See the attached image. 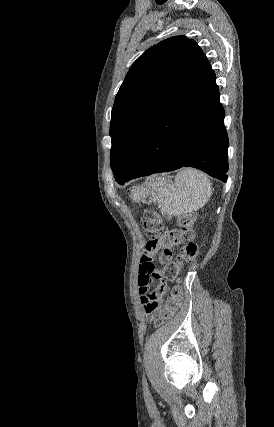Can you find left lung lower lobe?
Listing matches in <instances>:
<instances>
[{
  "mask_svg": "<svg viewBox=\"0 0 274 427\" xmlns=\"http://www.w3.org/2000/svg\"><path fill=\"white\" fill-rule=\"evenodd\" d=\"M228 137L215 74L207 61L150 129L138 157L117 183L181 167L227 181Z\"/></svg>",
  "mask_w": 274,
  "mask_h": 427,
  "instance_id": "0a47b994",
  "label": "left lung lower lobe"
}]
</instances>
